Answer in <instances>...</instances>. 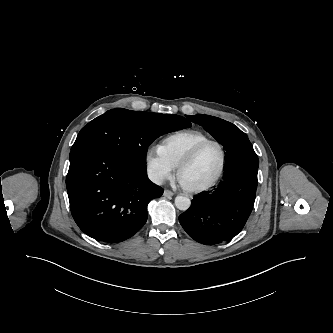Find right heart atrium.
Returning a JSON list of instances; mask_svg holds the SVG:
<instances>
[{
	"label": "right heart atrium",
	"mask_w": 333,
	"mask_h": 333,
	"mask_svg": "<svg viewBox=\"0 0 333 333\" xmlns=\"http://www.w3.org/2000/svg\"><path fill=\"white\" fill-rule=\"evenodd\" d=\"M145 164L149 177L157 184L171 179L175 173V166L158 147L151 146L146 150Z\"/></svg>",
	"instance_id": "right-heart-atrium-1"
}]
</instances>
